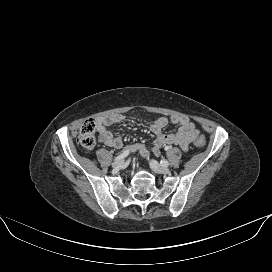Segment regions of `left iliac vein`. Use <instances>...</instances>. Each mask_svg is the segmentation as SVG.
<instances>
[{
	"label": "left iliac vein",
	"mask_w": 272,
	"mask_h": 272,
	"mask_svg": "<svg viewBox=\"0 0 272 272\" xmlns=\"http://www.w3.org/2000/svg\"><path fill=\"white\" fill-rule=\"evenodd\" d=\"M150 167L154 172L159 173V174H168L170 172L168 167L159 164L155 160L150 161Z\"/></svg>",
	"instance_id": "left-iliac-vein-1"
}]
</instances>
